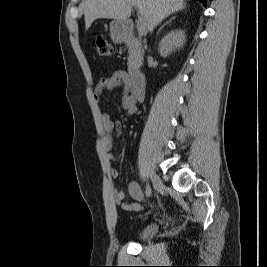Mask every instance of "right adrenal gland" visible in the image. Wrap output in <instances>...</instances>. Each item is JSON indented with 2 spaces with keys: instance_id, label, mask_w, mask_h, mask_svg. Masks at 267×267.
I'll list each match as a JSON object with an SVG mask.
<instances>
[{
  "instance_id": "right-adrenal-gland-1",
  "label": "right adrenal gland",
  "mask_w": 267,
  "mask_h": 267,
  "mask_svg": "<svg viewBox=\"0 0 267 267\" xmlns=\"http://www.w3.org/2000/svg\"><path fill=\"white\" fill-rule=\"evenodd\" d=\"M175 18H176V16H173L171 19H169L168 21H166V22L159 28V30H158L157 33H159V32L163 29L164 26H166L167 24L171 23V21L174 20Z\"/></svg>"
}]
</instances>
